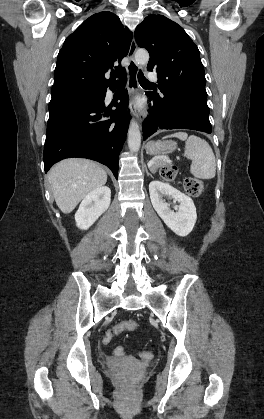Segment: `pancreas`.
<instances>
[{"label": "pancreas", "instance_id": "pancreas-1", "mask_svg": "<svg viewBox=\"0 0 264 419\" xmlns=\"http://www.w3.org/2000/svg\"><path fill=\"white\" fill-rule=\"evenodd\" d=\"M164 165H165V161L163 159L162 160H159V161L155 162L154 165L151 167V171L152 172H156V170L158 168H160V167H162Z\"/></svg>", "mask_w": 264, "mask_h": 419}]
</instances>
